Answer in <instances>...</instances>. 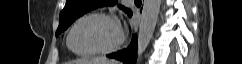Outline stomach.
Wrapping results in <instances>:
<instances>
[{"instance_id": "1", "label": "stomach", "mask_w": 242, "mask_h": 64, "mask_svg": "<svg viewBox=\"0 0 242 64\" xmlns=\"http://www.w3.org/2000/svg\"><path fill=\"white\" fill-rule=\"evenodd\" d=\"M80 64H91V63H87V62H81Z\"/></svg>"}]
</instances>
